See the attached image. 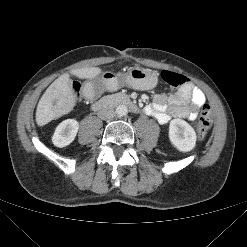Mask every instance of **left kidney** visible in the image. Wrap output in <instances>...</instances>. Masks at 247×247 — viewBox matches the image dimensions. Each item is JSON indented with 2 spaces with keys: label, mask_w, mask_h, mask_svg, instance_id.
Masks as SVG:
<instances>
[{
  "label": "left kidney",
  "mask_w": 247,
  "mask_h": 247,
  "mask_svg": "<svg viewBox=\"0 0 247 247\" xmlns=\"http://www.w3.org/2000/svg\"><path fill=\"white\" fill-rule=\"evenodd\" d=\"M169 139L179 151H191L196 144L194 129L182 119H173L169 125Z\"/></svg>",
  "instance_id": "1"
}]
</instances>
